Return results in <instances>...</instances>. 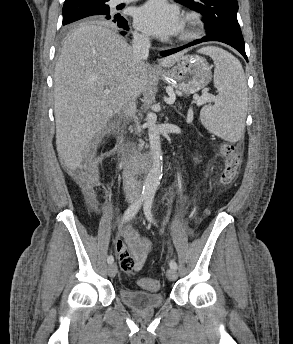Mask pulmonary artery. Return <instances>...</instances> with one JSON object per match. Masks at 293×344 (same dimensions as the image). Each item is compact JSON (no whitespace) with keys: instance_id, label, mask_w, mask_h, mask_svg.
Here are the masks:
<instances>
[{"instance_id":"e3ab8cb5","label":"pulmonary artery","mask_w":293,"mask_h":344,"mask_svg":"<svg viewBox=\"0 0 293 344\" xmlns=\"http://www.w3.org/2000/svg\"><path fill=\"white\" fill-rule=\"evenodd\" d=\"M115 3L119 4V3H126V2H132L135 0H113Z\"/></svg>"}]
</instances>
